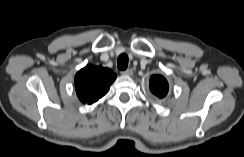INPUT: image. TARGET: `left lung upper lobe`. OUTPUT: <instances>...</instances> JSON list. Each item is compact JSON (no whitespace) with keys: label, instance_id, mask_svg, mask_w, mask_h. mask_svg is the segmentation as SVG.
I'll return each mask as SVG.
<instances>
[{"label":"left lung upper lobe","instance_id":"1","mask_svg":"<svg viewBox=\"0 0 244 157\" xmlns=\"http://www.w3.org/2000/svg\"><path fill=\"white\" fill-rule=\"evenodd\" d=\"M149 87L151 92L159 98L165 97L169 89L167 80L161 75L151 76Z\"/></svg>","mask_w":244,"mask_h":157}]
</instances>
